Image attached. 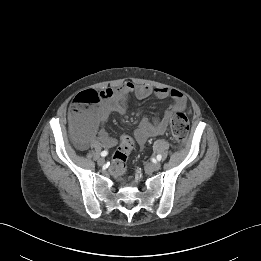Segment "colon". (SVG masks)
Here are the masks:
<instances>
[{"label": "colon", "instance_id": "obj_1", "mask_svg": "<svg viewBox=\"0 0 261 261\" xmlns=\"http://www.w3.org/2000/svg\"><path fill=\"white\" fill-rule=\"evenodd\" d=\"M87 95L78 96L70 106L72 123L76 130L83 129L90 118L94 108L87 99ZM170 130L178 146H183L187 140L189 120L185 113L178 112L170 123ZM134 147V141L130 136L124 135L119 140L118 149L112 157L111 169L115 174H122L126 168L127 154Z\"/></svg>", "mask_w": 261, "mask_h": 261}]
</instances>
